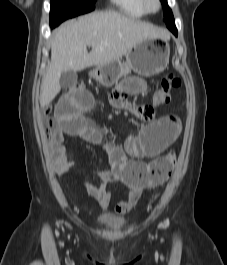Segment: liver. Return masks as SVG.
<instances>
[{"label": "liver", "instance_id": "obj_1", "mask_svg": "<svg viewBox=\"0 0 227 265\" xmlns=\"http://www.w3.org/2000/svg\"><path fill=\"white\" fill-rule=\"evenodd\" d=\"M168 37L163 29L115 11L95 12L62 23L53 33L51 62L41 84V107L59 94L63 72L103 66L146 39ZM87 46L92 47L90 53Z\"/></svg>", "mask_w": 227, "mask_h": 265}]
</instances>
